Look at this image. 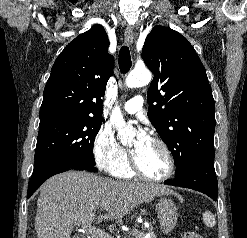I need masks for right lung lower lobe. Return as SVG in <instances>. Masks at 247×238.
<instances>
[{"label":"right lung lower lobe","mask_w":247,"mask_h":238,"mask_svg":"<svg viewBox=\"0 0 247 238\" xmlns=\"http://www.w3.org/2000/svg\"><path fill=\"white\" fill-rule=\"evenodd\" d=\"M71 169L74 168L64 164L53 165L44 169L36 178L30 180L27 198H29L41 186V184L51 176Z\"/></svg>","instance_id":"right-lung-lower-lobe-1"}]
</instances>
